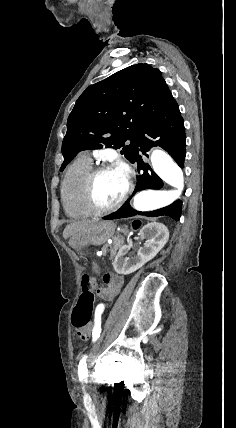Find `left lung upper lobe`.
Listing matches in <instances>:
<instances>
[{"label": "left lung upper lobe", "instance_id": "5c2ea615", "mask_svg": "<svg viewBox=\"0 0 236 428\" xmlns=\"http://www.w3.org/2000/svg\"><path fill=\"white\" fill-rule=\"evenodd\" d=\"M172 101L161 72L146 63L129 66L89 86L68 117L60 171L78 152L104 146L121 148V154L134 163L141 130ZM127 140L129 145H125Z\"/></svg>", "mask_w": 236, "mask_h": 428}]
</instances>
